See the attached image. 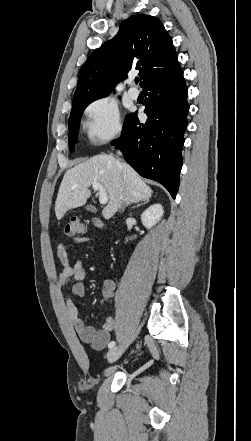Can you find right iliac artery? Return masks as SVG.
Wrapping results in <instances>:
<instances>
[{"mask_svg":"<svg viewBox=\"0 0 251 441\" xmlns=\"http://www.w3.org/2000/svg\"><path fill=\"white\" fill-rule=\"evenodd\" d=\"M115 341H111L109 344H108V348L109 349H111V348H113L114 346H115Z\"/></svg>","mask_w":251,"mask_h":441,"instance_id":"right-iliac-artery-1","label":"right iliac artery"}]
</instances>
